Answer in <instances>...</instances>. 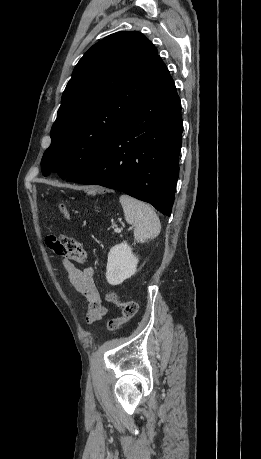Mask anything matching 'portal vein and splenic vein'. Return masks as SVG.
I'll return each mask as SVG.
<instances>
[{"instance_id": "18ae733b", "label": "portal vein and splenic vein", "mask_w": 261, "mask_h": 459, "mask_svg": "<svg viewBox=\"0 0 261 459\" xmlns=\"http://www.w3.org/2000/svg\"><path fill=\"white\" fill-rule=\"evenodd\" d=\"M114 231H115L116 233H120V232H121V228H115Z\"/></svg>"}]
</instances>
